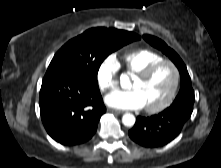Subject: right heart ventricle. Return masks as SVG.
I'll list each match as a JSON object with an SVG mask.
<instances>
[{"label":"right heart ventricle","mask_w":221,"mask_h":168,"mask_svg":"<svg viewBox=\"0 0 221 168\" xmlns=\"http://www.w3.org/2000/svg\"><path fill=\"white\" fill-rule=\"evenodd\" d=\"M162 59L163 57L159 53L149 49H138L123 56L125 69L131 74H137Z\"/></svg>","instance_id":"obj_1"}]
</instances>
